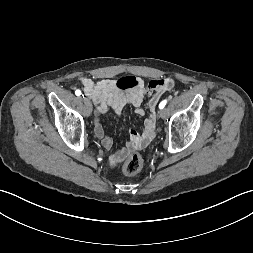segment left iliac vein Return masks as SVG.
Wrapping results in <instances>:
<instances>
[{
	"instance_id": "4c4485c4",
	"label": "left iliac vein",
	"mask_w": 253,
	"mask_h": 253,
	"mask_svg": "<svg viewBox=\"0 0 253 253\" xmlns=\"http://www.w3.org/2000/svg\"><path fill=\"white\" fill-rule=\"evenodd\" d=\"M167 114H168L167 109H160L159 110V115L161 118H163V119L166 118Z\"/></svg>"
}]
</instances>
